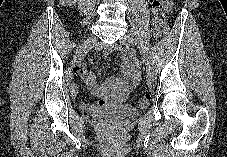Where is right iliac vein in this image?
<instances>
[{
  "label": "right iliac vein",
  "mask_w": 227,
  "mask_h": 157,
  "mask_svg": "<svg viewBox=\"0 0 227 157\" xmlns=\"http://www.w3.org/2000/svg\"><path fill=\"white\" fill-rule=\"evenodd\" d=\"M96 43L95 38H89L86 40L77 50L75 53V58L78 59L80 58L86 51L91 49L93 45Z\"/></svg>",
  "instance_id": "right-iliac-vein-1"
}]
</instances>
